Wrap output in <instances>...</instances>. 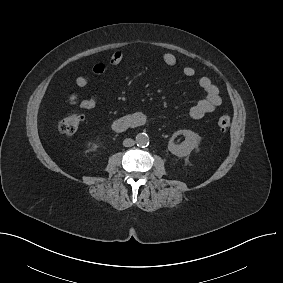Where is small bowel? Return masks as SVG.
Wrapping results in <instances>:
<instances>
[{"instance_id":"1","label":"small bowel","mask_w":283,"mask_h":283,"mask_svg":"<svg viewBox=\"0 0 283 283\" xmlns=\"http://www.w3.org/2000/svg\"><path fill=\"white\" fill-rule=\"evenodd\" d=\"M124 57L125 52L115 51L109 57L107 64H94L92 67V73L95 75H104L105 73H107L110 67L118 66L123 61ZM161 59L167 66L172 67L178 64V58L170 52L163 53ZM182 73L187 78H192L195 76V70L190 66H185L182 69ZM89 82V79L85 76H77L75 79L76 86L80 88L88 86ZM198 85L204 92V98L200 99L195 105H193L189 112L191 118L196 120L201 119L205 115L214 112L216 108L219 107L222 103L219 89L212 83V81L208 77H200L198 79ZM71 95L75 100L79 102V106L85 110H91L95 108L98 103L96 97L79 99L78 95L74 91L71 92ZM135 115L145 119V115L142 112H137Z\"/></svg>"}]
</instances>
